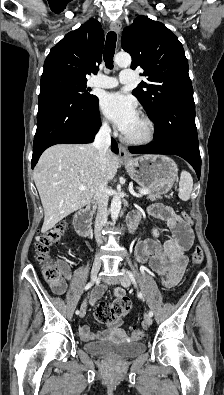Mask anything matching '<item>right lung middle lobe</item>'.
<instances>
[{"mask_svg":"<svg viewBox=\"0 0 224 395\" xmlns=\"http://www.w3.org/2000/svg\"><path fill=\"white\" fill-rule=\"evenodd\" d=\"M86 81L62 72H50L42 75L40 86L54 87L74 96L82 102L91 103L96 99V96L88 93Z\"/></svg>","mask_w":224,"mask_h":395,"instance_id":"right-lung-middle-lobe-1","label":"right lung middle lobe"}]
</instances>
